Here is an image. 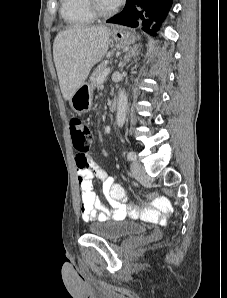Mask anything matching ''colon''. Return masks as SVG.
<instances>
[{
  "mask_svg": "<svg viewBox=\"0 0 227 298\" xmlns=\"http://www.w3.org/2000/svg\"><path fill=\"white\" fill-rule=\"evenodd\" d=\"M70 133L73 146L76 150H89L92 135L88 124L80 118L70 120ZM147 206L155 207L164 213L170 212V205L163 197L152 193L146 201Z\"/></svg>",
  "mask_w": 227,
  "mask_h": 298,
  "instance_id": "colon-1",
  "label": "colon"
}]
</instances>
